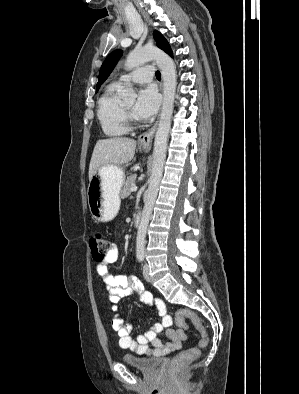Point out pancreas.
<instances>
[{
    "mask_svg": "<svg viewBox=\"0 0 299 394\" xmlns=\"http://www.w3.org/2000/svg\"><path fill=\"white\" fill-rule=\"evenodd\" d=\"M135 181H136V174H133V175L127 177L126 181L124 182L121 193H120V197L122 199H124L130 195L131 188L133 186H135Z\"/></svg>",
    "mask_w": 299,
    "mask_h": 394,
    "instance_id": "pancreas-1",
    "label": "pancreas"
}]
</instances>
